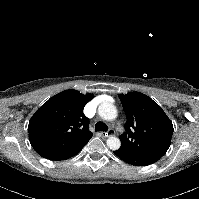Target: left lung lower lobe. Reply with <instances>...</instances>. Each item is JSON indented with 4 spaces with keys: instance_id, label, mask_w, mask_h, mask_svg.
<instances>
[{
    "instance_id": "left-lung-lower-lobe-1",
    "label": "left lung lower lobe",
    "mask_w": 199,
    "mask_h": 199,
    "mask_svg": "<svg viewBox=\"0 0 199 199\" xmlns=\"http://www.w3.org/2000/svg\"><path fill=\"white\" fill-rule=\"evenodd\" d=\"M113 153L116 156H118L121 160L135 166H146L156 162L148 157L135 154L123 148H119L118 150L113 151Z\"/></svg>"
}]
</instances>
